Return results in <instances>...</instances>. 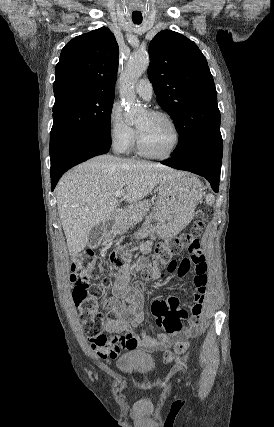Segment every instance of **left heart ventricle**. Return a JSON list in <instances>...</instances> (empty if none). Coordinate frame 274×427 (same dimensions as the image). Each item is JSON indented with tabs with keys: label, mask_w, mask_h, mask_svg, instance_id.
I'll list each match as a JSON object with an SVG mask.
<instances>
[{
	"label": "left heart ventricle",
	"mask_w": 274,
	"mask_h": 427,
	"mask_svg": "<svg viewBox=\"0 0 274 427\" xmlns=\"http://www.w3.org/2000/svg\"><path fill=\"white\" fill-rule=\"evenodd\" d=\"M143 149L153 155L166 154L173 145L174 133L170 124L162 118L148 113L140 116L136 123Z\"/></svg>",
	"instance_id": "b2bd125f"
}]
</instances>
